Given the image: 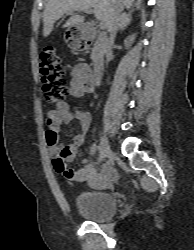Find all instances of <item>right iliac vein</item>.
<instances>
[{
	"instance_id": "1",
	"label": "right iliac vein",
	"mask_w": 194,
	"mask_h": 250,
	"mask_svg": "<svg viewBox=\"0 0 194 250\" xmlns=\"http://www.w3.org/2000/svg\"><path fill=\"white\" fill-rule=\"evenodd\" d=\"M100 154H101V157H100L101 161L105 160L107 157H110V155H111V149H110L109 141H108V138L105 135L101 136Z\"/></svg>"
}]
</instances>
